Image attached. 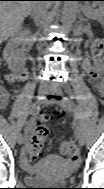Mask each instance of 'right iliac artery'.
Wrapping results in <instances>:
<instances>
[{"instance_id":"right-iliac-artery-1","label":"right iliac artery","mask_w":104,"mask_h":189,"mask_svg":"<svg viewBox=\"0 0 104 189\" xmlns=\"http://www.w3.org/2000/svg\"><path fill=\"white\" fill-rule=\"evenodd\" d=\"M39 111L40 106L33 107L29 112L31 118H34L39 113ZM21 130H24V125H20L19 130H17V133H21Z\"/></svg>"}]
</instances>
